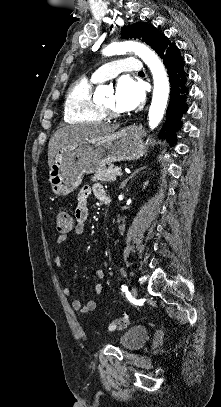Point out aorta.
I'll return each instance as SVG.
<instances>
[{"mask_svg": "<svg viewBox=\"0 0 221 407\" xmlns=\"http://www.w3.org/2000/svg\"><path fill=\"white\" fill-rule=\"evenodd\" d=\"M128 51L135 52V54H137L149 67L152 73L154 88L152 102L148 114V120L149 127L151 129H155L163 118L168 101L170 87L167 73L156 53L146 45L139 42H115L107 46L103 50V54L106 56H112L124 54ZM109 90L110 89L107 86H97L94 93V98L103 99L104 96L109 92Z\"/></svg>", "mask_w": 221, "mask_h": 407, "instance_id": "obj_1", "label": "aorta"}]
</instances>
